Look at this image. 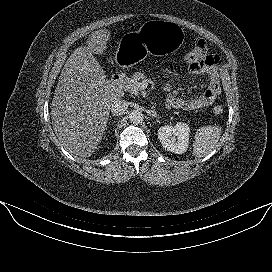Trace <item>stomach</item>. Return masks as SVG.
I'll list each match as a JSON object with an SVG mask.
<instances>
[{"mask_svg":"<svg viewBox=\"0 0 272 272\" xmlns=\"http://www.w3.org/2000/svg\"><path fill=\"white\" fill-rule=\"evenodd\" d=\"M185 33L177 23L166 20H149L138 31L126 33L118 43L117 64L131 67L146 54H163L178 50L184 43Z\"/></svg>","mask_w":272,"mask_h":272,"instance_id":"0dacf381","label":"stomach"}]
</instances>
